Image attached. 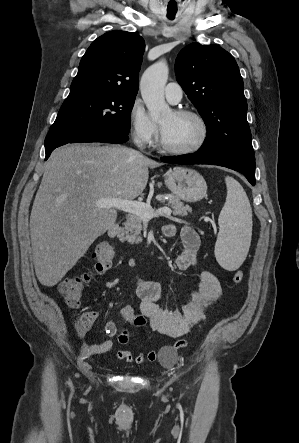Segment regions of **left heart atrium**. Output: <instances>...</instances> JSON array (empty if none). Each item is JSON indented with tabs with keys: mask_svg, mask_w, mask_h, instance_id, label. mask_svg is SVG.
Segmentation results:
<instances>
[{
	"mask_svg": "<svg viewBox=\"0 0 299 443\" xmlns=\"http://www.w3.org/2000/svg\"><path fill=\"white\" fill-rule=\"evenodd\" d=\"M164 130V128L161 127V132Z\"/></svg>",
	"mask_w": 299,
	"mask_h": 443,
	"instance_id": "39dd6f15",
	"label": "left heart atrium"
}]
</instances>
